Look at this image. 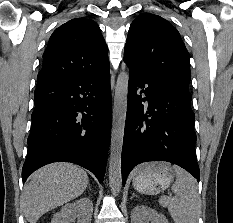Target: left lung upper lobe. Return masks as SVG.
<instances>
[{
    "instance_id": "5c2ea615",
    "label": "left lung upper lobe",
    "mask_w": 233,
    "mask_h": 223,
    "mask_svg": "<svg viewBox=\"0 0 233 223\" xmlns=\"http://www.w3.org/2000/svg\"><path fill=\"white\" fill-rule=\"evenodd\" d=\"M124 56L159 82L188 90L190 55L177 29L164 18L139 15L130 26Z\"/></svg>"
}]
</instances>
